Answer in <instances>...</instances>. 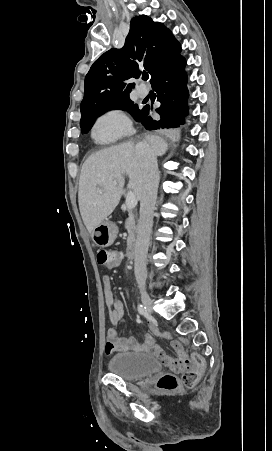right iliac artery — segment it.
<instances>
[{
    "label": "right iliac artery",
    "instance_id": "right-iliac-artery-1",
    "mask_svg": "<svg viewBox=\"0 0 272 451\" xmlns=\"http://www.w3.org/2000/svg\"><path fill=\"white\" fill-rule=\"evenodd\" d=\"M138 311L141 315H144L146 313V307L142 304L138 305Z\"/></svg>",
    "mask_w": 272,
    "mask_h": 451
}]
</instances>
